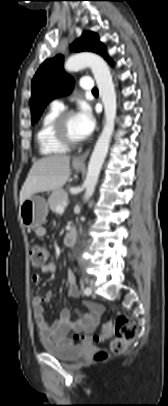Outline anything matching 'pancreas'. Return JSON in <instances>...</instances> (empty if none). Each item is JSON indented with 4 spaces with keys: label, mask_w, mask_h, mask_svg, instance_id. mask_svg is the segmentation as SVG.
Segmentation results:
<instances>
[{
    "label": "pancreas",
    "mask_w": 168,
    "mask_h": 406,
    "mask_svg": "<svg viewBox=\"0 0 168 406\" xmlns=\"http://www.w3.org/2000/svg\"><path fill=\"white\" fill-rule=\"evenodd\" d=\"M67 202H68V194L64 190H58L53 192L48 199L49 207L53 212H57L56 208L58 205H63L64 203Z\"/></svg>",
    "instance_id": "1"
}]
</instances>
